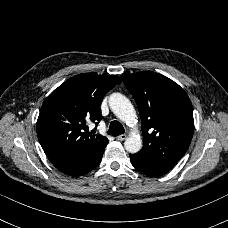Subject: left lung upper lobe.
<instances>
[{
	"mask_svg": "<svg viewBox=\"0 0 228 228\" xmlns=\"http://www.w3.org/2000/svg\"><path fill=\"white\" fill-rule=\"evenodd\" d=\"M121 78L141 117L144 144L136 155L155 164L175 165L186 153L194 132L188 95L177 83L155 72Z\"/></svg>",
	"mask_w": 228,
	"mask_h": 228,
	"instance_id": "1",
	"label": "left lung upper lobe"
}]
</instances>
